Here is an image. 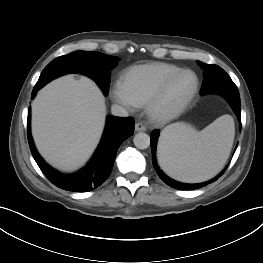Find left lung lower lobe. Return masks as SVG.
<instances>
[{"label": "left lung lower lobe", "mask_w": 263, "mask_h": 263, "mask_svg": "<svg viewBox=\"0 0 263 263\" xmlns=\"http://www.w3.org/2000/svg\"><path fill=\"white\" fill-rule=\"evenodd\" d=\"M201 68L204 70V82L201 89V93H209V92H216L224 96L228 102L230 103L231 107L233 108L234 112L236 113L240 125H241V102H240V96L239 91L234 86H216L214 81L219 77L218 72L220 71V67L213 64H205V63H199ZM159 136V131L154 130L151 135V149H152V162L153 166L158 174V176L169 186L179 189V190H192L197 189L206 186L207 184H210L214 181H216L226 170V168L215 178L208 182L198 183V184H184L177 181H174L170 179L168 176H166L163 171L158 167L155 151H156V144L157 139Z\"/></svg>", "instance_id": "left-lung-lower-lobe-1"}]
</instances>
